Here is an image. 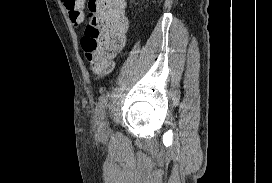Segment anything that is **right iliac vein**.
Instances as JSON below:
<instances>
[{"mask_svg": "<svg viewBox=\"0 0 272 183\" xmlns=\"http://www.w3.org/2000/svg\"><path fill=\"white\" fill-rule=\"evenodd\" d=\"M98 132L101 135L106 134V132H107V124H106L105 121H102L101 123H98Z\"/></svg>", "mask_w": 272, "mask_h": 183, "instance_id": "1", "label": "right iliac vein"}]
</instances>
